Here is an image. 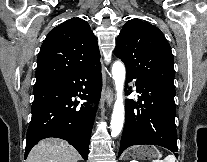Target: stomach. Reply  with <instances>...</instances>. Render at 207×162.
Segmentation results:
<instances>
[{"mask_svg": "<svg viewBox=\"0 0 207 162\" xmlns=\"http://www.w3.org/2000/svg\"><path fill=\"white\" fill-rule=\"evenodd\" d=\"M159 157L160 152L153 145H140L133 147L132 149L128 150L124 155V159L126 160L130 158H136L139 160H151L157 159Z\"/></svg>", "mask_w": 207, "mask_h": 162, "instance_id": "0dacf381", "label": "stomach"}]
</instances>
